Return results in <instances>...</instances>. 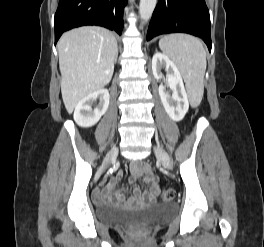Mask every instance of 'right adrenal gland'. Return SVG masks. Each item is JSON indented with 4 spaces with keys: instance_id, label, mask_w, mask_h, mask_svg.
<instances>
[{
    "instance_id": "right-adrenal-gland-1",
    "label": "right adrenal gland",
    "mask_w": 264,
    "mask_h": 247,
    "mask_svg": "<svg viewBox=\"0 0 264 247\" xmlns=\"http://www.w3.org/2000/svg\"><path fill=\"white\" fill-rule=\"evenodd\" d=\"M115 63L117 62V56L115 57V61H114Z\"/></svg>"
}]
</instances>
